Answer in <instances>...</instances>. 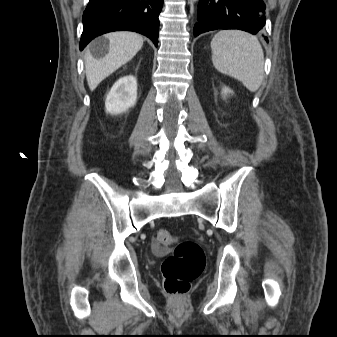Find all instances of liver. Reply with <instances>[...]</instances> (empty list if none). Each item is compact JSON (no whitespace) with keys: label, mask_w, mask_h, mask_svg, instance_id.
Wrapping results in <instances>:
<instances>
[{"label":"liver","mask_w":337,"mask_h":337,"mask_svg":"<svg viewBox=\"0 0 337 337\" xmlns=\"http://www.w3.org/2000/svg\"><path fill=\"white\" fill-rule=\"evenodd\" d=\"M105 38L109 40V50L103 58L96 59L88 50L85 53V72L91 91L130 61L143 46V37L134 32H112L106 34Z\"/></svg>","instance_id":"6515ba94"}]
</instances>
